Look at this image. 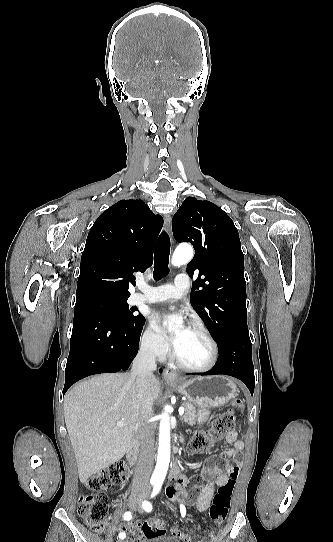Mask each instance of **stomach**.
I'll list each match as a JSON object with an SVG mask.
<instances>
[{
  "mask_svg": "<svg viewBox=\"0 0 333 542\" xmlns=\"http://www.w3.org/2000/svg\"><path fill=\"white\" fill-rule=\"evenodd\" d=\"M188 402L198 408L197 422L203 424L210 416L212 408H221L238 396V388L233 378L227 376H203L192 380H177L170 384Z\"/></svg>",
  "mask_w": 333,
  "mask_h": 542,
  "instance_id": "obj_1",
  "label": "stomach"
}]
</instances>
